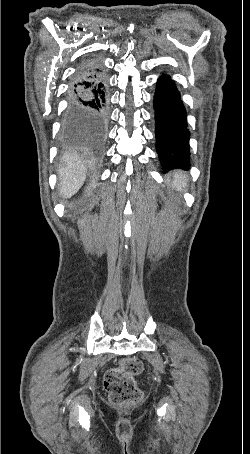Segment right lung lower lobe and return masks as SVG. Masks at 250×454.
I'll return each mask as SVG.
<instances>
[{"label": "right lung lower lobe", "mask_w": 250, "mask_h": 454, "mask_svg": "<svg viewBox=\"0 0 250 454\" xmlns=\"http://www.w3.org/2000/svg\"><path fill=\"white\" fill-rule=\"evenodd\" d=\"M67 100L66 127L79 141L101 147L108 123V91L106 74L98 58H88L77 66Z\"/></svg>", "instance_id": "right-lung-lower-lobe-1"}]
</instances>
